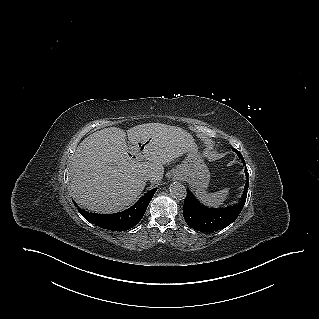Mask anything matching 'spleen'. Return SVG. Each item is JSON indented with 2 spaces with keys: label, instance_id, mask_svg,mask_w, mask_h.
Wrapping results in <instances>:
<instances>
[{
  "label": "spleen",
  "instance_id": "3e777b00",
  "mask_svg": "<svg viewBox=\"0 0 319 319\" xmlns=\"http://www.w3.org/2000/svg\"><path fill=\"white\" fill-rule=\"evenodd\" d=\"M229 188H224L214 193H207L205 190L196 191L197 198L209 207H219L227 199Z\"/></svg>",
  "mask_w": 319,
  "mask_h": 319
}]
</instances>
